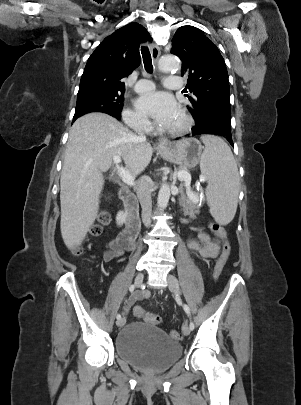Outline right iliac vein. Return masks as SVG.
I'll return each mask as SVG.
<instances>
[{"mask_svg":"<svg viewBox=\"0 0 301 405\" xmlns=\"http://www.w3.org/2000/svg\"><path fill=\"white\" fill-rule=\"evenodd\" d=\"M143 279H144L143 273L137 274L136 277H135V281H134V282H135V285H136L137 287H139V286L142 284ZM125 322H126V318H125V317H122V318H120V319H118V320L116 321V325H117L118 327H122V326L125 324Z\"/></svg>","mask_w":301,"mask_h":405,"instance_id":"right-iliac-vein-1","label":"right iliac vein"}]
</instances>
